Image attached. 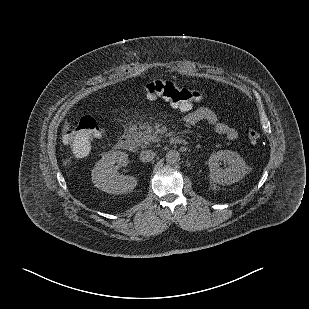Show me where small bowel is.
I'll return each mask as SVG.
<instances>
[{
  "mask_svg": "<svg viewBox=\"0 0 309 309\" xmlns=\"http://www.w3.org/2000/svg\"><path fill=\"white\" fill-rule=\"evenodd\" d=\"M148 99L154 100L155 98L149 97ZM171 107L185 114L184 122L186 125L192 126L198 122L205 121L214 125L215 132L224 135L227 139L234 140L237 138V132L226 124L219 122L215 113L207 107H200L193 110V104L186 103H171Z\"/></svg>",
  "mask_w": 309,
  "mask_h": 309,
  "instance_id": "obj_1",
  "label": "small bowel"
}]
</instances>
